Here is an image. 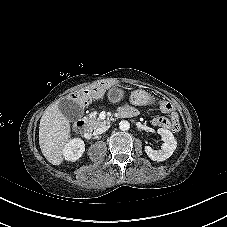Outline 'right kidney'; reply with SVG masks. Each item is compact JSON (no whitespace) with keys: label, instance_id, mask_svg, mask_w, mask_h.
I'll list each match as a JSON object with an SVG mask.
<instances>
[{"label":"right kidney","instance_id":"right-kidney-1","mask_svg":"<svg viewBox=\"0 0 227 227\" xmlns=\"http://www.w3.org/2000/svg\"><path fill=\"white\" fill-rule=\"evenodd\" d=\"M84 151L85 144L83 140L80 138H74L64 146L62 153L65 160L74 162L83 155Z\"/></svg>","mask_w":227,"mask_h":227}]
</instances>
